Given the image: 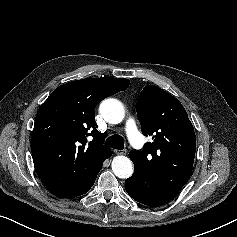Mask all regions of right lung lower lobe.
<instances>
[{
    "instance_id": "98d812e1",
    "label": "right lung lower lobe",
    "mask_w": 237,
    "mask_h": 237,
    "mask_svg": "<svg viewBox=\"0 0 237 237\" xmlns=\"http://www.w3.org/2000/svg\"><path fill=\"white\" fill-rule=\"evenodd\" d=\"M100 170H101V168H100ZM100 170H99V171H100ZM98 173H99V172H98ZM98 173H97V174H98ZM96 177H97V175H96ZM96 177H95V179H96ZM94 182H95V181H94ZM91 187H92V186H91Z\"/></svg>"
}]
</instances>
